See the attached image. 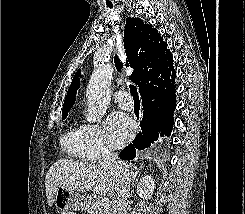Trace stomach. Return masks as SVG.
<instances>
[{"mask_svg":"<svg viewBox=\"0 0 245 214\" xmlns=\"http://www.w3.org/2000/svg\"><path fill=\"white\" fill-rule=\"evenodd\" d=\"M54 204L61 211L69 209L86 210L90 206L91 201L88 197L78 192L59 187L55 195Z\"/></svg>","mask_w":245,"mask_h":214,"instance_id":"0dacf381","label":"stomach"}]
</instances>
